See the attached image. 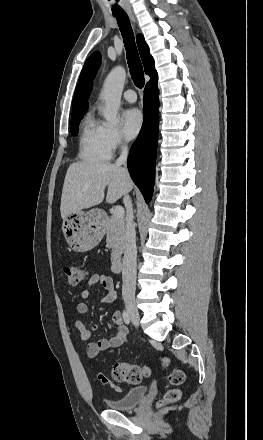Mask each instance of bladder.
I'll use <instances>...</instances> for the list:
<instances>
[{"instance_id":"bladder-1","label":"bladder","mask_w":263,"mask_h":440,"mask_svg":"<svg viewBox=\"0 0 263 440\" xmlns=\"http://www.w3.org/2000/svg\"><path fill=\"white\" fill-rule=\"evenodd\" d=\"M147 391L148 389L146 386L133 387L130 388L123 396L107 399L105 403L107 407L112 410H131L145 398Z\"/></svg>"}]
</instances>
